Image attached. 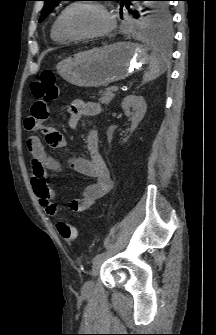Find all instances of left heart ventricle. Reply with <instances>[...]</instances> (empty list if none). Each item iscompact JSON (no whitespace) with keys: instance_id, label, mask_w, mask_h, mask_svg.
Wrapping results in <instances>:
<instances>
[{"instance_id":"left-heart-ventricle-1","label":"left heart ventricle","mask_w":216,"mask_h":335,"mask_svg":"<svg viewBox=\"0 0 216 335\" xmlns=\"http://www.w3.org/2000/svg\"><path fill=\"white\" fill-rule=\"evenodd\" d=\"M66 28L75 34L94 33L105 29L108 21L102 11L93 5L73 8L65 18Z\"/></svg>"}]
</instances>
